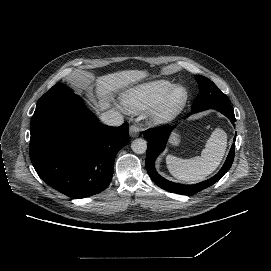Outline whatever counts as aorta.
Returning <instances> with one entry per match:
<instances>
[{
    "label": "aorta",
    "mask_w": 271,
    "mask_h": 271,
    "mask_svg": "<svg viewBox=\"0 0 271 271\" xmlns=\"http://www.w3.org/2000/svg\"><path fill=\"white\" fill-rule=\"evenodd\" d=\"M131 149L134 153L143 154L147 150V142L142 138L135 139L131 143Z\"/></svg>",
    "instance_id": "aorta-1"
}]
</instances>
